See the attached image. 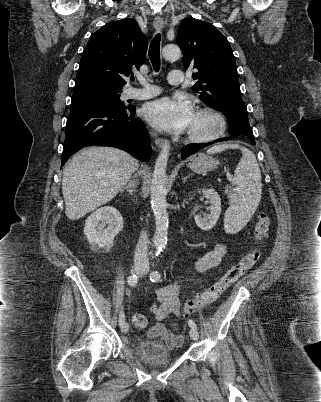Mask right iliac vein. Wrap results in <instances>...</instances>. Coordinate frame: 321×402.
<instances>
[{
  "instance_id": "right-iliac-vein-1",
  "label": "right iliac vein",
  "mask_w": 321,
  "mask_h": 402,
  "mask_svg": "<svg viewBox=\"0 0 321 402\" xmlns=\"http://www.w3.org/2000/svg\"><path fill=\"white\" fill-rule=\"evenodd\" d=\"M132 271L136 272V273H142L144 270L142 267L135 266ZM128 330H129V325H128V323L124 322L123 325L121 326V331H122V333H127Z\"/></svg>"
}]
</instances>
